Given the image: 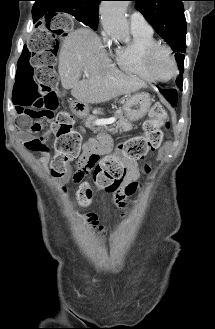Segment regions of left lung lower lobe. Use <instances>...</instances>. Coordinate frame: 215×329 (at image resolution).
<instances>
[{
    "mask_svg": "<svg viewBox=\"0 0 215 329\" xmlns=\"http://www.w3.org/2000/svg\"><path fill=\"white\" fill-rule=\"evenodd\" d=\"M182 90V88H180ZM161 93L166 97V99L171 103L172 107L176 106L177 103V91L174 89L161 90Z\"/></svg>",
    "mask_w": 215,
    "mask_h": 329,
    "instance_id": "1",
    "label": "left lung lower lobe"
}]
</instances>
